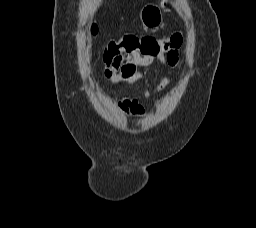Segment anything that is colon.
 Wrapping results in <instances>:
<instances>
[{"mask_svg":"<svg viewBox=\"0 0 256 228\" xmlns=\"http://www.w3.org/2000/svg\"><path fill=\"white\" fill-rule=\"evenodd\" d=\"M91 33H97V26L94 24L91 28ZM182 45V37L178 34L171 35L170 37L158 41L152 36L138 37L135 35H126L118 40L110 41L104 49L103 61L105 66L116 64L119 59L131 52H140L155 56L163 47L169 49H179Z\"/></svg>","mask_w":256,"mask_h":228,"instance_id":"colon-1","label":"colon"}]
</instances>
